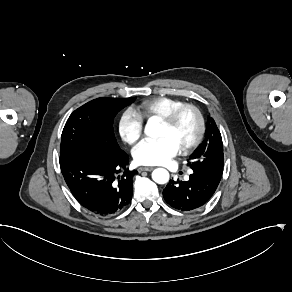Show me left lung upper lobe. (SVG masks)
<instances>
[{
  "mask_svg": "<svg viewBox=\"0 0 292 292\" xmlns=\"http://www.w3.org/2000/svg\"><path fill=\"white\" fill-rule=\"evenodd\" d=\"M188 161L193 173L221 179L224 164L223 143L213 118L208 117L205 139Z\"/></svg>",
  "mask_w": 292,
  "mask_h": 292,
  "instance_id": "obj_1",
  "label": "left lung upper lobe"
}]
</instances>
